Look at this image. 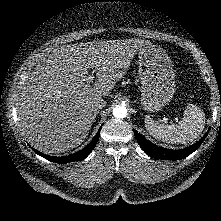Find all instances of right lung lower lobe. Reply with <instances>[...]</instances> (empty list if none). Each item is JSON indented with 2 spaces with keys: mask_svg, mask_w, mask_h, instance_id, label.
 <instances>
[{
  "mask_svg": "<svg viewBox=\"0 0 221 221\" xmlns=\"http://www.w3.org/2000/svg\"><path fill=\"white\" fill-rule=\"evenodd\" d=\"M101 128H102V126H101ZM101 128L99 129V131L97 132V134L95 135V137L93 138V140L91 141V143L88 146H86L84 149H82L74 154H71L69 156L54 157V156L44 155L36 150H34V151L37 154H39L40 156H43L44 158H46L47 160L52 161V162H56L59 164H65V163H69L72 161H81V160L85 159L92 152L93 148L96 146V144L99 140V137H100Z\"/></svg>",
  "mask_w": 221,
  "mask_h": 221,
  "instance_id": "1",
  "label": "right lung lower lobe"
}]
</instances>
